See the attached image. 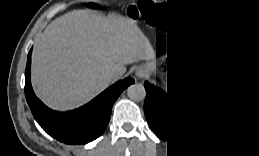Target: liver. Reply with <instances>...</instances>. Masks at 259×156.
I'll use <instances>...</instances> for the list:
<instances>
[{
  "instance_id": "liver-1",
  "label": "liver",
  "mask_w": 259,
  "mask_h": 156,
  "mask_svg": "<svg viewBox=\"0 0 259 156\" xmlns=\"http://www.w3.org/2000/svg\"><path fill=\"white\" fill-rule=\"evenodd\" d=\"M143 35L123 18L104 21L90 10H73L53 20L33 48L31 81L48 107L66 111L80 107L112 81L124 64L146 59Z\"/></svg>"
}]
</instances>
